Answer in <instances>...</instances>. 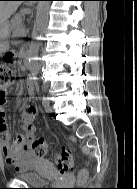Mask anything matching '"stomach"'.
<instances>
[{"label": "stomach", "instance_id": "1", "mask_svg": "<svg viewBox=\"0 0 137 189\" xmlns=\"http://www.w3.org/2000/svg\"><path fill=\"white\" fill-rule=\"evenodd\" d=\"M9 36V25H5L0 29V53L4 52L8 47L7 38Z\"/></svg>", "mask_w": 137, "mask_h": 189}]
</instances>
